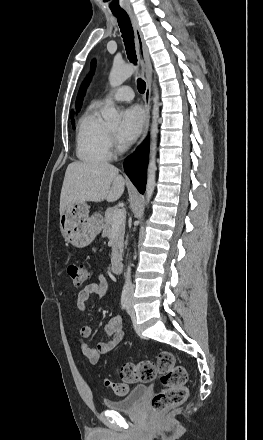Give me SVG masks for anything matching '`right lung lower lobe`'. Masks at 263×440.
I'll return each instance as SVG.
<instances>
[{
  "instance_id": "98d812e1",
  "label": "right lung lower lobe",
  "mask_w": 263,
  "mask_h": 440,
  "mask_svg": "<svg viewBox=\"0 0 263 440\" xmlns=\"http://www.w3.org/2000/svg\"><path fill=\"white\" fill-rule=\"evenodd\" d=\"M149 156V138H147L124 162V170L140 193H144L146 171Z\"/></svg>"
}]
</instances>
